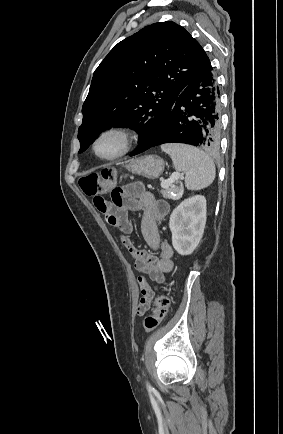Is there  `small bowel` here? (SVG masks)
<instances>
[{"mask_svg":"<svg viewBox=\"0 0 283 434\" xmlns=\"http://www.w3.org/2000/svg\"><path fill=\"white\" fill-rule=\"evenodd\" d=\"M93 201L96 209L105 215L108 224L120 231V241L133 258L135 269L145 275L138 277L141 298L137 315L143 316L150 308L156 285L161 284L165 274L173 269L172 246L161 238L160 231V224L168 214V204L156 200L140 183L113 189L110 201L101 195L95 196ZM129 212L142 213L141 233L149 248L157 252L156 255L138 249L130 239L133 226L128 218Z\"/></svg>","mask_w":283,"mask_h":434,"instance_id":"1","label":"small bowel"}]
</instances>
